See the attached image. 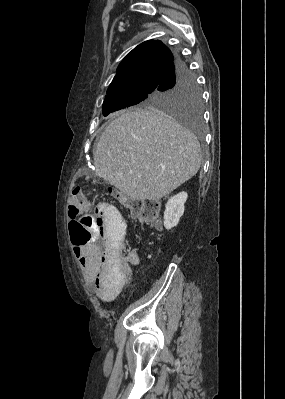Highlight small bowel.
<instances>
[{
  "label": "small bowel",
  "instance_id": "1",
  "mask_svg": "<svg viewBox=\"0 0 285 399\" xmlns=\"http://www.w3.org/2000/svg\"><path fill=\"white\" fill-rule=\"evenodd\" d=\"M95 216L86 228L98 233L101 241L75 246L74 251L87 278L93 279L98 297L103 302L114 299L122 289L124 281L115 267L110 266V257L103 254V249L118 246L127 235V223L123 217L108 203L95 205ZM83 236V234H81ZM137 255L133 252V263Z\"/></svg>",
  "mask_w": 285,
  "mask_h": 399
}]
</instances>
